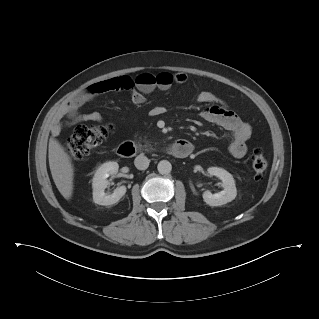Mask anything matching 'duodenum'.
Masks as SVG:
<instances>
[{
    "instance_id": "1",
    "label": "duodenum",
    "mask_w": 319,
    "mask_h": 319,
    "mask_svg": "<svg viewBox=\"0 0 319 319\" xmlns=\"http://www.w3.org/2000/svg\"><path fill=\"white\" fill-rule=\"evenodd\" d=\"M140 147L133 142H125L118 147L117 153L121 157L134 155ZM193 151V145L188 140L180 139L175 141L170 147V154L176 158H185Z\"/></svg>"
}]
</instances>
